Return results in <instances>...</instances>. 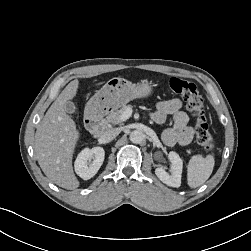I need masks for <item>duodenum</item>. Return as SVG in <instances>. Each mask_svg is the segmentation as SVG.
<instances>
[{
	"label": "duodenum",
	"mask_w": 251,
	"mask_h": 251,
	"mask_svg": "<svg viewBox=\"0 0 251 251\" xmlns=\"http://www.w3.org/2000/svg\"><path fill=\"white\" fill-rule=\"evenodd\" d=\"M86 126L94 137H100L105 131L103 115L96 110H91L86 117Z\"/></svg>",
	"instance_id": "duodenum-1"
}]
</instances>
